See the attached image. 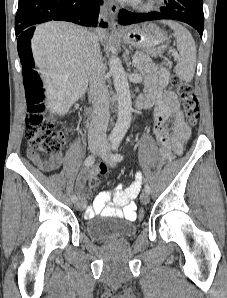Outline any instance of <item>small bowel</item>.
Returning <instances> with one entry per match:
<instances>
[{"instance_id":"c3829d8e","label":"small bowel","mask_w":227,"mask_h":298,"mask_svg":"<svg viewBox=\"0 0 227 298\" xmlns=\"http://www.w3.org/2000/svg\"><path fill=\"white\" fill-rule=\"evenodd\" d=\"M168 81L167 71H160L149 78L145 93L140 96L145 104L144 108L154 106L153 121L154 134L160 147L161 154L167 162H174L173 152H180L190 137L191 130L185 121L183 110L180 107L176 94L165 91ZM171 123V126H170ZM28 158L41 170L51 172L63 164V156L56 154L49 160L43 159L36 151L29 149ZM94 174L91 168L82 169L77 178L76 187L81 200L86 202L90 191L84 186L85 181ZM142 185V174L137 173L134 182L123 188L120 184L100 192L96 195L91 206L85 211V217L91 219L96 215L115 216L134 220L136 218V204Z\"/></svg>"}]
</instances>
